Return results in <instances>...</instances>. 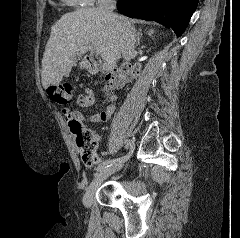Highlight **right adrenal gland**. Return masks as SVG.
Returning a JSON list of instances; mask_svg holds the SVG:
<instances>
[{
	"label": "right adrenal gland",
	"mask_w": 240,
	"mask_h": 238,
	"mask_svg": "<svg viewBox=\"0 0 240 238\" xmlns=\"http://www.w3.org/2000/svg\"><path fill=\"white\" fill-rule=\"evenodd\" d=\"M142 30L139 29L137 32H136V45L139 46L140 45V39H141V36H142Z\"/></svg>",
	"instance_id": "1"
}]
</instances>
